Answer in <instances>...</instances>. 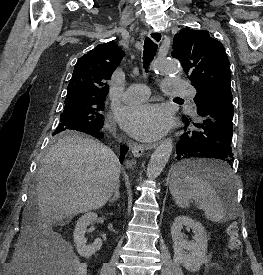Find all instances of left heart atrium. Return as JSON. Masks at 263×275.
<instances>
[{
    "instance_id": "left-heart-atrium-1",
    "label": "left heart atrium",
    "mask_w": 263,
    "mask_h": 275,
    "mask_svg": "<svg viewBox=\"0 0 263 275\" xmlns=\"http://www.w3.org/2000/svg\"><path fill=\"white\" fill-rule=\"evenodd\" d=\"M121 124L137 139L153 140L167 131L168 116L158 105L141 104L126 109L121 116Z\"/></svg>"
}]
</instances>
